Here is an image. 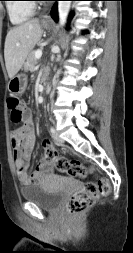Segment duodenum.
Here are the masks:
<instances>
[{
    "label": "duodenum",
    "instance_id": "obj_1",
    "mask_svg": "<svg viewBox=\"0 0 133 253\" xmlns=\"http://www.w3.org/2000/svg\"><path fill=\"white\" fill-rule=\"evenodd\" d=\"M46 79V75H43L42 80L44 81Z\"/></svg>",
    "mask_w": 133,
    "mask_h": 253
}]
</instances>
